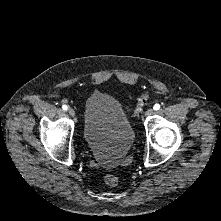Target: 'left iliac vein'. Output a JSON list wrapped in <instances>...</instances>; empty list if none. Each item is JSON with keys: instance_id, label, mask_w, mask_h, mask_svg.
Wrapping results in <instances>:
<instances>
[{"instance_id": "1", "label": "left iliac vein", "mask_w": 221, "mask_h": 221, "mask_svg": "<svg viewBox=\"0 0 221 221\" xmlns=\"http://www.w3.org/2000/svg\"><path fill=\"white\" fill-rule=\"evenodd\" d=\"M154 113V110L152 108H149L146 112L145 115L146 116H151Z\"/></svg>"}]
</instances>
